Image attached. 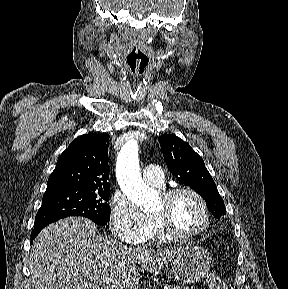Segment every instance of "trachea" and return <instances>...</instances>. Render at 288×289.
<instances>
[{
	"label": "trachea",
	"instance_id": "obj_1",
	"mask_svg": "<svg viewBox=\"0 0 288 289\" xmlns=\"http://www.w3.org/2000/svg\"><path fill=\"white\" fill-rule=\"evenodd\" d=\"M149 58L141 50L134 48L127 56L128 66L135 71H144Z\"/></svg>",
	"mask_w": 288,
	"mask_h": 289
}]
</instances>
